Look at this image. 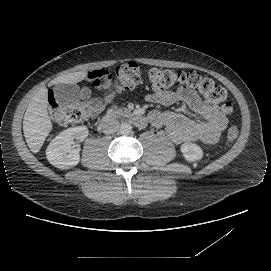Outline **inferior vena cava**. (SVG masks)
<instances>
[{"label":"inferior vena cava","instance_id":"602c4592","mask_svg":"<svg viewBox=\"0 0 271 271\" xmlns=\"http://www.w3.org/2000/svg\"><path fill=\"white\" fill-rule=\"evenodd\" d=\"M99 125L106 135L116 133L120 126L119 121L111 115L104 116Z\"/></svg>","mask_w":271,"mask_h":271}]
</instances>
